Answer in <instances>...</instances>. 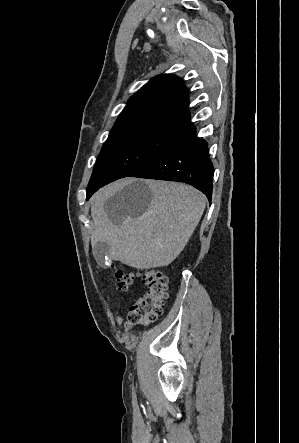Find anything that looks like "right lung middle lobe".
Here are the masks:
<instances>
[{
    "instance_id": "1",
    "label": "right lung middle lobe",
    "mask_w": 299,
    "mask_h": 443,
    "mask_svg": "<svg viewBox=\"0 0 299 443\" xmlns=\"http://www.w3.org/2000/svg\"><path fill=\"white\" fill-rule=\"evenodd\" d=\"M183 128V122L146 120L111 132L96 162L87 196L140 169L167 148Z\"/></svg>"
}]
</instances>
